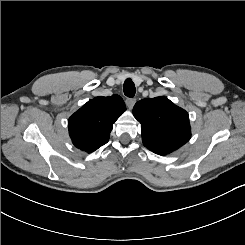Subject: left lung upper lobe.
<instances>
[{"label":"left lung upper lobe","mask_w":245,"mask_h":245,"mask_svg":"<svg viewBox=\"0 0 245 245\" xmlns=\"http://www.w3.org/2000/svg\"><path fill=\"white\" fill-rule=\"evenodd\" d=\"M133 114L141 123L144 146L156 154H170L191 137L188 113L166 97L137 102Z\"/></svg>","instance_id":"5c2ea615"}]
</instances>
